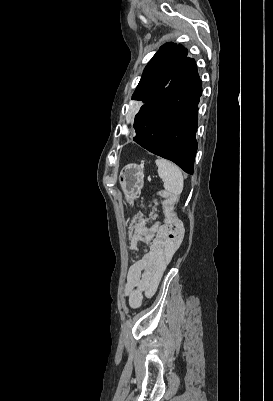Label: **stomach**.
Returning a JSON list of instances; mask_svg holds the SVG:
<instances>
[{"label": "stomach", "instance_id": "stomach-1", "mask_svg": "<svg viewBox=\"0 0 273 401\" xmlns=\"http://www.w3.org/2000/svg\"><path fill=\"white\" fill-rule=\"evenodd\" d=\"M119 182L127 203L132 205L144 186V172L142 166H140V164H135V162L126 164L119 174Z\"/></svg>", "mask_w": 273, "mask_h": 401}]
</instances>
